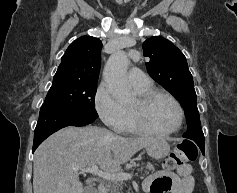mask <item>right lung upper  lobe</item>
<instances>
[{"label":"right lung upper lobe","mask_w":237,"mask_h":193,"mask_svg":"<svg viewBox=\"0 0 237 193\" xmlns=\"http://www.w3.org/2000/svg\"><path fill=\"white\" fill-rule=\"evenodd\" d=\"M101 48L98 38L82 36L76 39L67 48L54 77L97 82Z\"/></svg>","instance_id":"cb5924a9"}]
</instances>
